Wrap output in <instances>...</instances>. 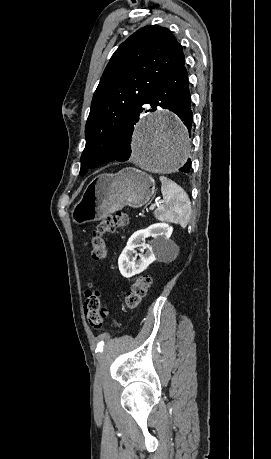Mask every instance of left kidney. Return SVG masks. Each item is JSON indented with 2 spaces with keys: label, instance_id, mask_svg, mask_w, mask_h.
I'll list each match as a JSON object with an SVG mask.
<instances>
[{
  "label": "left kidney",
  "instance_id": "left-kidney-1",
  "mask_svg": "<svg viewBox=\"0 0 271 459\" xmlns=\"http://www.w3.org/2000/svg\"><path fill=\"white\" fill-rule=\"evenodd\" d=\"M172 228L168 224H152L149 228L138 229L134 231L131 237L127 241L126 247H124L122 253L119 255L118 265L120 273L124 277H132L136 273H141L143 269L148 267L149 263H152L154 259H157L155 253L157 251H163L166 247V241ZM145 237H154L149 243H145ZM140 247V251L147 249L145 253H137L140 259H136L133 253H136L135 247Z\"/></svg>",
  "mask_w": 271,
  "mask_h": 459
}]
</instances>
